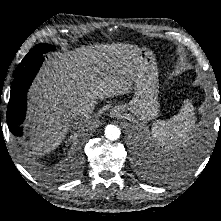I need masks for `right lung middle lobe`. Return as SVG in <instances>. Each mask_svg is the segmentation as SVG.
Segmentation results:
<instances>
[{"instance_id": "right-lung-middle-lobe-1", "label": "right lung middle lobe", "mask_w": 221, "mask_h": 221, "mask_svg": "<svg viewBox=\"0 0 221 221\" xmlns=\"http://www.w3.org/2000/svg\"><path fill=\"white\" fill-rule=\"evenodd\" d=\"M54 49H55V46H52L46 43L37 44L29 51V53L24 57V59L18 66L23 67L29 64L31 61L41 57L46 52L53 51Z\"/></svg>"}]
</instances>
